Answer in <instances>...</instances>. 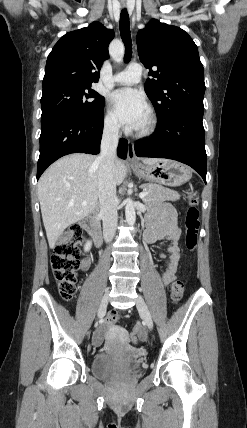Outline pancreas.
Instances as JSON below:
<instances>
[{"mask_svg":"<svg viewBox=\"0 0 247 428\" xmlns=\"http://www.w3.org/2000/svg\"><path fill=\"white\" fill-rule=\"evenodd\" d=\"M147 194L143 198L145 204L152 202L177 201L180 199L178 192L157 184H142L140 186Z\"/></svg>","mask_w":247,"mask_h":428,"instance_id":"cf45deb5","label":"pancreas"}]
</instances>
